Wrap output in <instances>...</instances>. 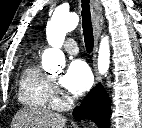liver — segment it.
<instances>
[{"label": "liver", "mask_w": 142, "mask_h": 128, "mask_svg": "<svg viewBox=\"0 0 142 128\" xmlns=\"http://www.w3.org/2000/svg\"><path fill=\"white\" fill-rule=\"evenodd\" d=\"M66 117L45 108H23L13 120L12 128H64Z\"/></svg>", "instance_id": "1"}]
</instances>
